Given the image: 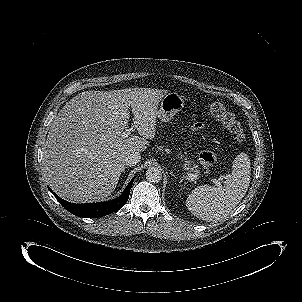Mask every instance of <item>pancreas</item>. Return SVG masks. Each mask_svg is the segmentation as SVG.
Here are the masks:
<instances>
[{
  "label": "pancreas",
  "instance_id": "obj_1",
  "mask_svg": "<svg viewBox=\"0 0 302 302\" xmlns=\"http://www.w3.org/2000/svg\"><path fill=\"white\" fill-rule=\"evenodd\" d=\"M184 157L181 155V158ZM182 168L184 170H190L193 172H196L198 174V166L196 164H194V161L189 160V158L184 157L183 159V164H182Z\"/></svg>",
  "mask_w": 302,
  "mask_h": 302
}]
</instances>
